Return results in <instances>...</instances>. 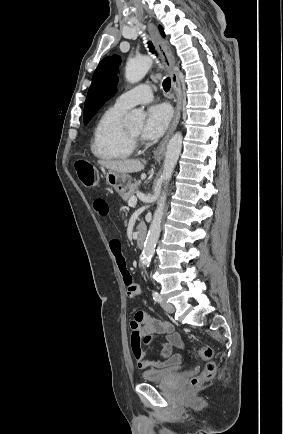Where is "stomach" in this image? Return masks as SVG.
<instances>
[{"label": "stomach", "instance_id": "0dacf381", "mask_svg": "<svg viewBox=\"0 0 283 434\" xmlns=\"http://www.w3.org/2000/svg\"><path fill=\"white\" fill-rule=\"evenodd\" d=\"M105 179L106 183L113 187L120 196L127 193L132 183V177L129 174L111 170L106 172Z\"/></svg>", "mask_w": 283, "mask_h": 434}]
</instances>
